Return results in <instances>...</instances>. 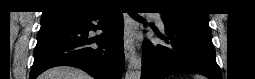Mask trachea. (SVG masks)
I'll list each match as a JSON object with an SVG mask.
<instances>
[{"label":"trachea","mask_w":255,"mask_h":79,"mask_svg":"<svg viewBox=\"0 0 255 79\" xmlns=\"http://www.w3.org/2000/svg\"><path fill=\"white\" fill-rule=\"evenodd\" d=\"M133 16H134V18L137 19V20H142V18L139 17V16H137V15H133Z\"/></svg>","instance_id":"trachea-1"}]
</instances>
